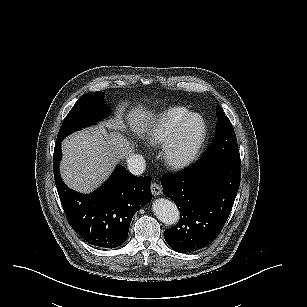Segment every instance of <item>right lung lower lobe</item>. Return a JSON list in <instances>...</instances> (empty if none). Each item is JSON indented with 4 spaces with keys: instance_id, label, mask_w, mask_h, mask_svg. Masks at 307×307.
<instances>
[{
    "instance_id": "right-lung-lower-lobe-1",
    "label": "right lung lower lobe",
    "mask_w": 307,
    "mask_h": 307,
    "mask_svg": "<svg viewBox=\"0 0 307 307\" xmlns=\"http://www.w3.org/2000/svg\"><path fill=\"white\" fill-rule=\"evenodd\" d=\"M61 158L60 141L54 148V179L73 230L85 242L97 248L121 246L127 240L133 215L152 198L149 189L151 177H134L119 165L102 187L91 194H81L62 181L59 172Z\"/></svg>"
}]
</instances>
